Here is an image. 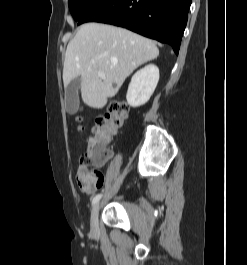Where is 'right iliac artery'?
Listing matches in <instances>:
<instances>
[{
  "label": "right iliac artery",
  "instance_id": "82829eb1",
  "mask_svg": "<svg viewBox=\"0 0 247 265\" xmlns=\"http://www.w3.org/2000/svg\"><path fill=\"white\" fill-rule=\"evenodd\" d=\"M102 197V194H97L93 199H92V205H95Z\"/></svg>",
  "mask_w": 247,
  "mask_h": 265
}]
</instances>
